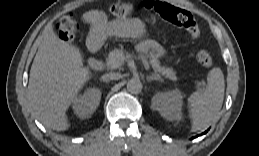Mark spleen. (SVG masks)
Returning a JSON list of instances; mask_svg holds the SVG:
<instances>
[{
  "instance_id": "1",
  "label": "spleen",
  "mask_w": 259,
  "mask_h": 156,
  "mask_svg": "<svg viewBox=\"0 0 259 156\" xmlns=\"http://www.w3.org/2000/svg\"><path fill=\"white\" fill-rule=\"evenodd\" d=\"M225 91V80L220 68H213L207 76L205 89L197 90L188 97V111L192 131L207 127L221 110Z\"/></svg>"
}]
</instances>
